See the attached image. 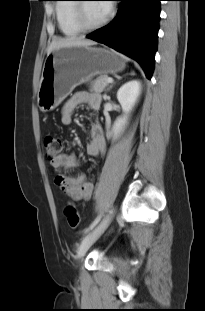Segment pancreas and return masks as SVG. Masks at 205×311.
<instances>
[{"instance_id": "cf45deb5", "label": "pancreas", "mask_w": 205, "mask_h": 311, "mask_svg": "<svg viewBox=\"0 0 205 311\" xmlns=\"http://www.w3.org/2000/svg\"><path fill=\"white\" fill-rule=\"evenodd\" d=\"M108 77L106 75L98 77L96 80L90 82V90L96 93L103 92L109 85L106 81Z\"/></svg>"}]
</instances>
